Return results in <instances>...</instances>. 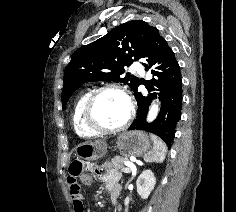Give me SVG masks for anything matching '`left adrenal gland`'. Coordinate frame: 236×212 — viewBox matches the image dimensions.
I'll return each instance as SVG.
<instances>
[{
	"label": "left adrenal gland",
	"mask_w": 236,
	"mask_h": 212,
	"mask_svg": "<svg viewBox=\"0 0 236 212\" xmlns=\"http://www.w3.org/2000/svg\"><path fill=\"white\" fill-rule=\"evenodd\" d=\"M132 179H133V177L129 180V182H130ZM129 182H128V183H129ZM128 183H127V184H128Z\"/></svg>",
	"instance_id": "left-adrenal-gland-1"
}]
</instances>
